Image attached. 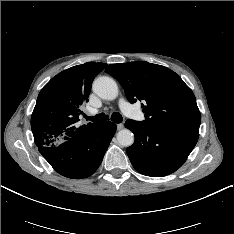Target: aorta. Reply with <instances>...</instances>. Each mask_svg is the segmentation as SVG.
<instances>
[{
	"label": "aorta",
	"mask_w": 234,
	"mask_h": 234,
	"mask_svg": "<svg viewBox=\"0 0 234 234\" xmlns=\"http://www.w3.org/2000/svg\"><path fill=\"white\" fill-rule=\"evenodd\" d=\"M93 91L102 99L114 100L118 96V85L110 77L102 76L93 82ZM117 141L121 146L129 147L134 143V135L128 129L117 133Z\"/></svg>",
	"instance_id": "1"
}]
</instances>
